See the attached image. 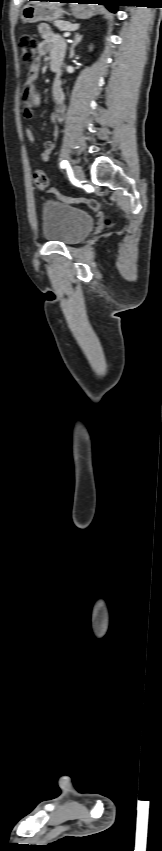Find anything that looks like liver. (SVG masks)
I'll list each match as a JSON object with an SVG mask.
<instances>
[{"mask_svg": "<svg viewBox=\"0 0 162 851\" xmlns=\"http://www.w3.org/2000/svg\"><path fill=\"white\" fill-rule=\"evenodd\" d=\"M44 4H45V5H48V6H61V5H62V4H61V3H59V2H46V3H44Z\"/></svg>", "mask_w": 162, "mask_h": 851, "instance_id": "obj_1", "label": "liver"}]
</instances>
